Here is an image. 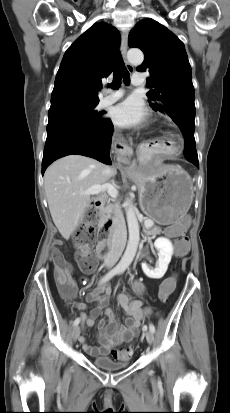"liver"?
Masks as SVG:
<instances>
[{"label": "liver", "instance_id": "obj_1", "mask_svg": "<svg viewBox=\"0 0 230 413\" xmlns=\"http://www.w3.org/2000/svg\"><path fill=\"white\" fill-rule=\"evenodd\" d=\"M105 167L93 158L73 154L47 168L44 174L47 202L53 222L64 239L70 238L90 206V195L81 192L109 180L110 177L103 174Z\"/></svg>", "mask_w": 230, "mask_h": 413}]
</instances>
